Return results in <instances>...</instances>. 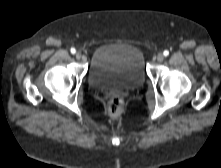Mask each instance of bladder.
<instances>
[{"label":"bladder","mask_w":221,"mask_h":168,"mask_svg":"<svg viewBox=\"0 0 221 168\" xmlns=\"http://www.w3.org/2000/svg\"><path fill=\"white\" fill-rule=\"evenodd\" d=\"M147 77L143 52L134 45L106 44L92 54L87 79L98 90L125 91L141 86Z\"/></svg>","instance_id":"obj_1"}]
</instances>
